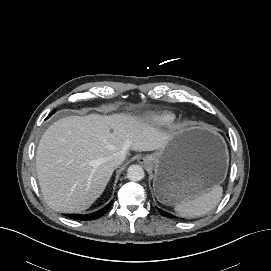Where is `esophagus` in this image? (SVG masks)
<instances>
[{
  "label": "esophagus",
  "mask_w": 271,
  "mask_h": 271,
  "mask_svg": "<svg viewBox=\"0 0 271 271\" xmlns=\"http://www.w3.org/2000/svg\"><path fill=\"white\" fill-rule=\"evenodd\" d=\"M148 160H149L148 157H143V158L140 159V162L141 163H148Z\"/></svg>",
  "instance_id": "esophagus-1"
}]
</instances>
